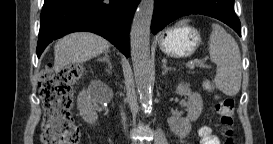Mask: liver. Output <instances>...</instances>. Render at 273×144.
I'll use <instances>...</instances> for the list:
<instances>
[{"label":"liver","instance_id":"6515ba94","mask_svg":"<svg viewBox=\"0 0 273 144\" xmlns=\"http://www.w3.org/2000/svg\"><path fill=\"white\" fill-rule=\"evenodd\" d=\"M109 47V41L93 33L69 34L55 44L54 70L60 72L69 64L86 62L107 51Z\"/></svg>","mask_w":273,"mask_h":144}]
</instances>
